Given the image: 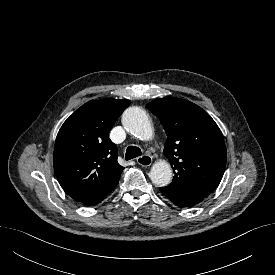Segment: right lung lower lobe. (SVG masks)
<instances>
[{
  "mask_svg": "<svg viewBox=\"0 0 275 275\" xmlns=\"http://www.w3.org/2000/svg\"><path fill=\"white\" fill-rule=\"evenodd\" d=\"M106 196H107V195H106ZM106 196L101 197V198H97V199H92V200H89V201H86V202H83V203L86 204V205H96V204H98L100 201H102Z\"/></svg>",
  "mask_w": 275,
  "mask_h": 275,
  "instance_id": "1",
  "label": "right lung lower lobe"
}]
</instances>
